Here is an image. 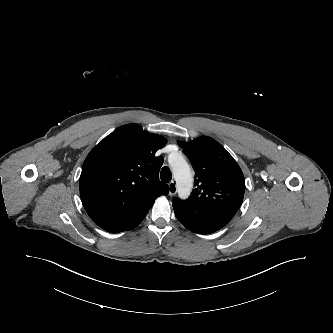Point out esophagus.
<instances>
[{"label":"esophagus","instance_id":"obj_1","mask_svg":"<svg viewBox=\"0 0 333 333\" xmlns=\"http://www.w3.org/2000/svg\"><path fill=\"white\" fill-rule=\"evenodd\" d=\"M168 186H169V195L170 196L175 195L177 191L176 183L174 181H171Z\"/></svg>","mask_w":333,"mask_h":333}]
</instances>
